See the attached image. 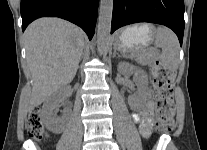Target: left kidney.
I'll return each instance as SVG.
<instances>
[{
	"label": "left kidney",
	"instance_id": "left-kidney-1",
	"mask_svg": "<svg viewBox=\"0 0 207 150\" xmlns=\"http://www.w3.org/2000/svg\"><path fill=\"white\" fill-rule=\"evenodd\" d=\"M118 71L121 73H134L138 85V97L130 98L129 104L133 110L140 111L147 99L148 79L142 74L141 70L125 62L118 65Z\"/></svg>",
	"mask_w": 207,
	"mask_h": 150
}]
</instances>
